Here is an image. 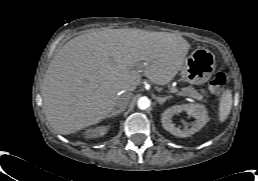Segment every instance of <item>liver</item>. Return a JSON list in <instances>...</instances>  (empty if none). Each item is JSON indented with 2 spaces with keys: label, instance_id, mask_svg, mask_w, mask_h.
Masks as SVG:
<instances>
[{
  "label": "liver",
  "instance_id": "liver-1",
  "mask_svg": "<svg viewBox=\"0 0 258 181\" xmlns=\"http://www.w3.org/2000/svg\"><path fill=\"white\" fill-rule=\"evenodd\" d=\"M190 49L181 36L140 29H105L79 35L58 50L41 85L43 109L51 127L68 135L95 125L131 93L143 75L169 83ZM122 93V94H121Z\"/></svg>",
  "mask_w": 258,
  "mask_h": 181
}]
</instances>
